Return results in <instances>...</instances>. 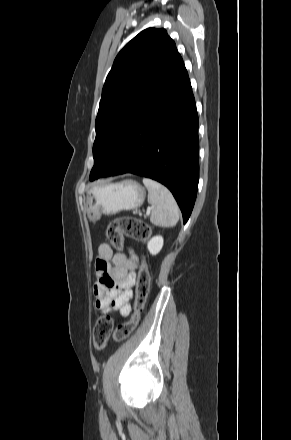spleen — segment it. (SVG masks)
<instances>
[{
	"instance_id": "1",
	"label": "spleen",
	"mask_w": 291,
	"mask_h": 440,
	"mask_svg": "<svg viewBox=\"0 0 291 440\" xmlns=\"http://www.w3.org/2000/svg\"><path fill=\"white\" fill-rule=\"evenodd\" d=\"M148 189V202L153 206L150 221L157 226L173 227L179 220V207L172 193L150 178H143Z\"/></svg>"
}]
</instances>
